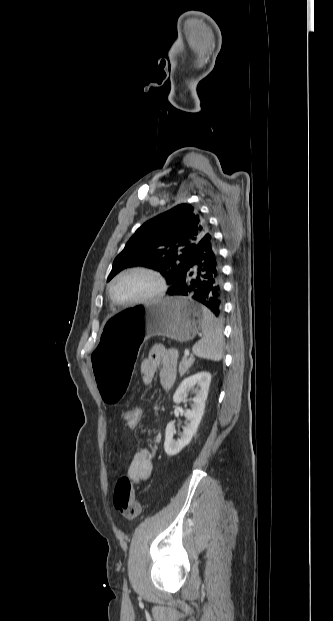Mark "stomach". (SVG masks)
Returning a JSON list of instances; mask_svg holds the SVG:
<instances>
[{
    "label": "stomach",
    "instance_id": "stomach-1",
    "mask_svg": "<svg viewBox=\"0 0 333 621\" xmlns=\"http://www.w3.org/2000/svg\"><path fill=\"white\" fill-rule=\"evenodd\" d=\"M203 306L185 297H167L108 316L94 345L93 379L103 409L115 411L133 385L142 339L164 336L187 342L201 330Z\"/></svg>",
    "mask_w": 333,
    "mask_h": 621
}]
</instances>
